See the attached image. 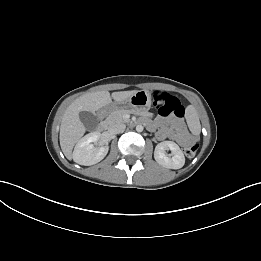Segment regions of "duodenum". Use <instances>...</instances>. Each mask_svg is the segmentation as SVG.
Segmentation results:
<instances>
[{
    "label": "duodenum",
    "instance_id": "410a0bca",
    "mask_svg": "<svg viewBox=\"0 0 261 261\" xmlns=\"http://www.w3.org/2000/svg\"><path fill=\"white\" fill-rule=\"evenodd\" d=\"M108 110H109V108L102 109V110L100 111L101 115H104ZM97 129H98V131H103V130H105V129H106V124H105L103 121H101V122L98 124Z\"/></svg>",
    "mask_w": 261,
    "mask_h": 261
}]
</instances>
